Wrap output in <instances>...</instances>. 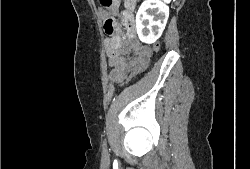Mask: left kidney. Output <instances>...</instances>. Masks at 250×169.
Here are the masks:
<instances>
[{"label": "left kidney", "mask_w": 250, "mask_h": 169, "mask_svg": "<svg viewBox=\"0 0 250 169\" xmlns=\"http://www.w3.org/2000/svg\"><path fill=\"white\" fill-rule=\"evenodd\" d=\"M169 16V6L162 0H143L136 14V30L142 42H155L161 36Z\"/></svg>", "instance_id": "obj_1"}]
</instances>
